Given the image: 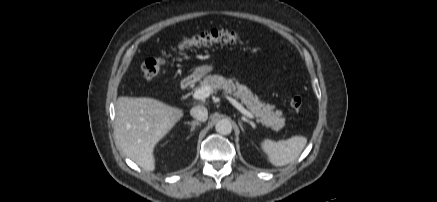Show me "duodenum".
<instances>
[{"instance_id":"1","label":"duodenum","mask_w":437,"mask_h":202,"mask_svg":"<svg viewBox=\"0 0 437 202\" xmlns=\"http://www.w3.org/2000/svg\"><path fill=\"white\" fill-rule=\"evenodd\" d=\"M194 82H195L194 77H192V76L186 77L182 80L180 87L183 91H185V90L189 89L193 85Z\"/></svg>"}]
</instances>
